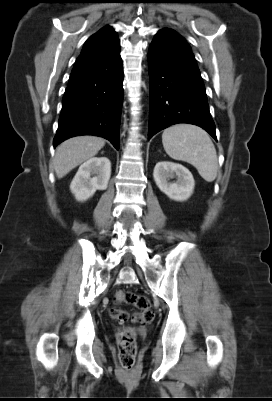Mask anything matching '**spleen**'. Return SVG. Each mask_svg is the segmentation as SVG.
<instances>
[{
  "instance_id": "3e777b00",
  "label": "spleen",
  "mask_w": 272,
  "mask_h": 401,
  "mask_svg": "<svg viewBox=\"0 0 272 401\" xmlns=\"http://www.w3.org/2000/svg\"><path fill=\"white\" fill-rule=\"evenodd\" d=\"M162 143L172 159L190 163L207 182L216 179L218 171L216 149L203 129L187 124L174 125L164 130Z\"/></svg>"
}]
</instances>
